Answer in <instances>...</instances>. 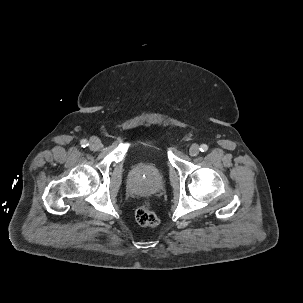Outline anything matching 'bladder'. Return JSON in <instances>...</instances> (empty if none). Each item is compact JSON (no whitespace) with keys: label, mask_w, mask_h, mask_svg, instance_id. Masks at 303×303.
Returning a JSON list of instances; mask_svg holds the SVG:
<instances>
[{"label":"bladder","mask_w":303,"mask_h":303,"mask_svg":"<svg viewBox=\"0 0 303 303\" xmlns=\"http://www.w3.org/2000/svg\"><path fill=\"white\" fill-rule=\"evenodd\" d=\"M164 142V137L161 135H155L147 139L146 146L156 150H161Z\"/></svg>","instance_id":"bladder-1"}]
</instances>
